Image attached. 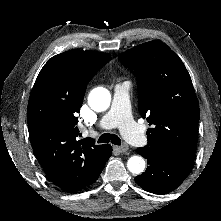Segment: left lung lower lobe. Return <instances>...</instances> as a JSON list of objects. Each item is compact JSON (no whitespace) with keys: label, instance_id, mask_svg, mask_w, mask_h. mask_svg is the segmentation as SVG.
Instances as JSON below:
<instances>
[{"label":"left lung lower lobe","instance_id":"1","mask_svg":"<svg viewBox=\"0 0 221 221\" xmlns=\"http://www.w3.org/2000/svg\"><path fill=\"white\" fill-rule=\"evenodd\" d=\"M137 153L147 159L146 171L135 177L144 190L155 194H166L176 189L190 173L193 160L177 156L151 153L137 148Z\"/></svg>","mask_w":221,"mask_h":221}]
</instances>
